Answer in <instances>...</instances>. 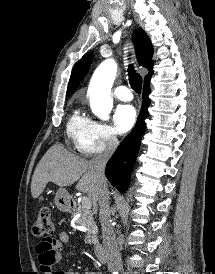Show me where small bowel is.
Listing matches in <instances>:
<instances>
[{"label":"small bowel","mask_w":215,"mask_h":274,"mask_svg":"<svg viewBox=\"0 0 215 274\" xmlns=\"http://www.w3.org/2000/svg\"><path fill=\"white\" fill-rule=\"evenodd\" d=\"M71 240L67 232L60 231L58 239L41 240L36 245V253L43 274H97L96 272H53V264L59 262L63 256V244H70Z\"/></svg>","instance_id":"1"}]
</instances>
